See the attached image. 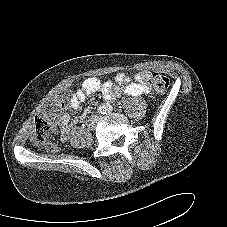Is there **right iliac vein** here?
I'll use <instances>...</instances> for the list:
<instances>
[{"mask_svg":"<svg viewBox=\"0 0 227 227\" xmlns=\"http://www.w3.org/2000/svg\"><path fill=\"white\" fill-rule=\"evenodd\" d=\"M96 125V118L95 117H92L90 120H89V127L90 128H94Z\"/></svg>","mask_w":227,"mask_h":227,"instance_id":"right-iliac-vein-1","label":"right iliac vein"}]
</instances>
